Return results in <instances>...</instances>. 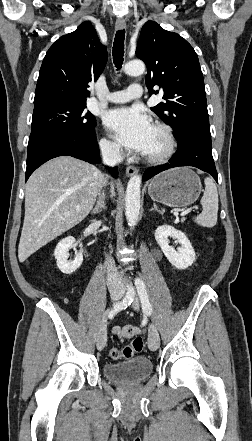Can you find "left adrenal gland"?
I'll use <instances>...</instances> for the list:
<instances>
[{"instance_id":"1","label":"left adrenal gland","mask_w":252,"mask_h":441,"mask_svg":"<svg viewBox=\"0 0 252 441\" xmlns=\"http://www.w3.org/2000/svg\"><path fill=\"white\" fill-rule=\"evenodd\" d=\"M154 210L162 214V212L157 208L156 204H153V208L150 209V211H154Z\"/></svg>"}]
</instances>
